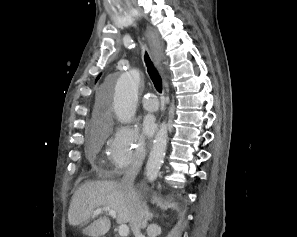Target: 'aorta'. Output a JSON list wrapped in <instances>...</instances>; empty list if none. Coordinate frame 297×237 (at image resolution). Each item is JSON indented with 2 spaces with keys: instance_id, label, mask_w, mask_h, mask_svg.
Masks as SVG:
<instances>
[{
  "instance_id": "aorta-1",
  "label": "aorta",
  "mask_w": 297,
  "mask_h": 237,
  "mask_svg": "<svg viewBox=\"0 0 297 237\" xmlns=\"http://www.w3.org/2000/svg\"><path fill=\"white\" fill-rule=\"evenodd\" d=\"M141 74L138 69H132L122 74L115 86L113 108L116 117L122 123H129L135 116L137 95ZM167 145V126L163 123L155 136L153 148L147 163V178L154 181L164 160Z\"/></svg>"
}]
</instances>
